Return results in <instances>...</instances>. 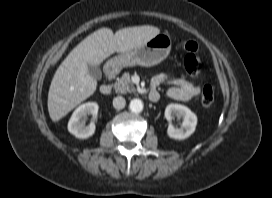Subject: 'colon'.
<instances>
[{"label": "colon", "mask_w": 272, "mask_h": 198, "mask_svg": "<svg viewBox=\"0 0 272 198\" xmlns=\"http://www.w3.org/2000/svg\"><path fill=\"white\" fill-rule=\"evenodd\" d=\"M185 56L183 60L184 68L188 74L197 75L202 68L199 57V47L194 41H185L183 43ZM215 101V90L212 86L206 85L202 89L201 103L204 107H211Z\"/></svg>", "instance_id": "5ec220e1"}]
</instances>
